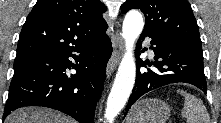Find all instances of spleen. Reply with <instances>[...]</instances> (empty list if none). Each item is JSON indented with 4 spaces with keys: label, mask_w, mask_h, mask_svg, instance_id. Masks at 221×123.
Listing matches in <instances>:
<instances>
[{
    "label": "spleen",
    "mask_w": 221,
    "mask_h": 123,
    "mask_svg": "<svg viewBox=\"0 0 221 123\" xmlns=\"http://www.w3.org/2000/svg\"><path fill=\"white\" fill-rule=\"evenodd\" d=\"M177 93L185 99L181 115L187 123H210L209 114L202 100L185 90L178 89Z\"/></svg>",
    "instance_id": "3e777b00"
}]
</instances>
